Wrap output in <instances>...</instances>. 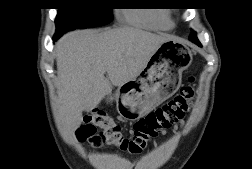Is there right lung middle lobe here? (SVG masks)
I'll use <instances>...</instances> for the list:
<instances>
[{
  "instance_id": "obj_1",
  "label": "right lung middle lobe",
  "mask_w": 252,
  "mask_h": 169,
  "mask_svg": "<svg viewBox=\"0 0 252 169\" xmlns=\"http://www.w3.org/2000/svg\"><path fill=\"white\" fill-rule=\"evenodd\" d=\"M110 0H59L56 33L106 25L112 21Z\"/></svg>"
}]
</instances>
